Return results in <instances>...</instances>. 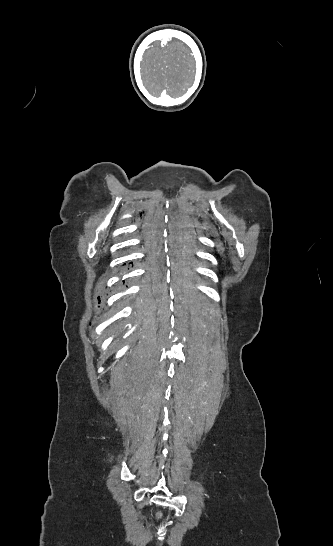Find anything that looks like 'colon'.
I'll list each match as a JSON object with an SVG mask.
<instances>
[{
    "mask_svg": "<svg viewBox=\"0 0 333 546\" xmlns=\"http://www.w3.org/2000/svg\"><path fill=\"white\" fill-rule=\"evenodd\" d=\"M156 516H157L158 519H161V517H162L160 512H157Z\"/></svg>",
    "mask_w": 333,
    "mask_h": 546,
    "instance_id": "obj_1",
    "label": "colon"
}]
</instances>
